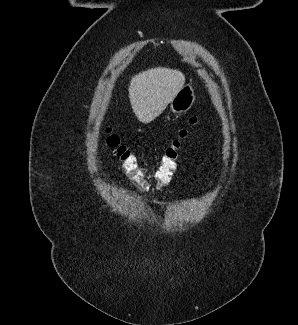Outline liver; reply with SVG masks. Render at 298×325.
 Segmentation results:
<instances>
[{
  "label": "liver",
  "instance_id": "6515ba94",
  "mask_svg": "<svg viewBox=\"0 0 298 325\" xmlns=\"http://www.w3.org/2000/svg\"><path fill=\"white\" fill-rule=\"evenodd\" d=\"M186 76L179 68L154 66L134 74L128 86L131 108L140 122H152L181 90Z\"/></svg>",
  "mask_w": 298,
  "mask_h": 325
}]
</instances>
